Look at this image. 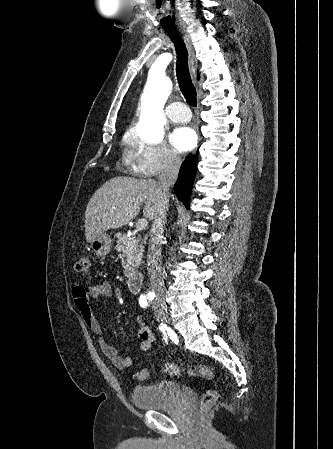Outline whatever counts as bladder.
<instances>
[{
	"label": "bladder",
	"instance_id": "1",
	"mask_svg": "<svg viewBox=\"0 0 333 449\" xmlns=\"http://www.w3.org/2000/svg\"><path fill=\"white\" fill-rule=\"evenodd\" d=\"M181 393L180 384L172 380L138 385L132 391V403L138 409L159 410L173 406Z\"/></svg>",
	"mask_w": 333,
	"mask_h": 449
}]
</instances>
